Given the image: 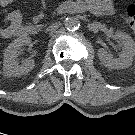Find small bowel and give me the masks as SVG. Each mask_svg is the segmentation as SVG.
<instances>
[{
    "instance_id": "1",
    "label": "small bowel",
    "mask_w": 135,
    "mask_h": 135,
    "mask_svg": "<svg viewBox=\"0 0 135 135\" xmlns=\"http://www.w3.org/2000/svg\"><path fill=\"white\" fill-rule=\"evenodd\" d=\"M14 0H0V6H8ZM88 10L98 16H110L114 13V6L112 0H85ZM6 25L0 26V37L11 38L24 34V27L22 26V15L19 11L10 13L5 18Z\"/></svg>"
}]
</instances>
